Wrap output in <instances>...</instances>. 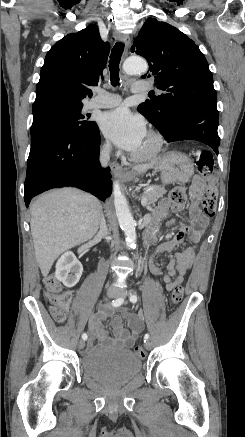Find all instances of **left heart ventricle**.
I'll use <instances>...</instances> for the list:
<instances>
[{
  "mask_svg": "<svg viewBox=\"0 0 245 437\" xmlns=\"http://www.w3.org/2000/svg\"><path fill=\"white\" fill-rule=\"evenodd\" d=\"M151 147H152V141L148 138V136H146L141 146L135 153L136 154L146 153L147 151L150 150Z\"/></svg>",
  "mask_w": 245,
  "mask_h": 437,
  "instance_id": "obj_1",
  "label": "left heart ventricle"
}]
</instances>
